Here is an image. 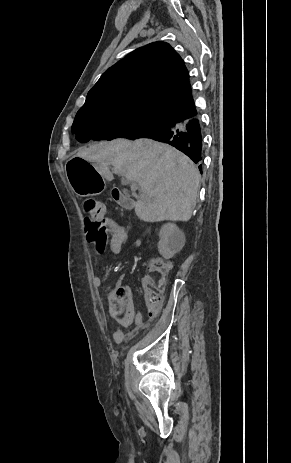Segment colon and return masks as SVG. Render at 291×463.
<instances>
[{
	"label": "colon",
	"mask_w": 291,
	"mask_h": 463,
	"mask_svg": "<svg viewBox=\"0 0 291 463\" xmlns=\"http://www.w3.org/2000/svg\"><path fill=\"white\" fill-rule=\"evenodd\" d=\"M83 213L86 217L85 229H99L105 216V206L94 199H87L83 203ZM148 274L145 276L146 306L148 315L154 317L163 302L164 288L169 264L160 259H152L147 265ZM130 299L129 292L123 287L111 290L110 300L114 303L117 314L122 313L125 300Z\"/></svg>",
	"instance_id": "5ec220e1"
}]
</instances>
